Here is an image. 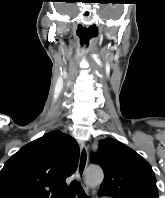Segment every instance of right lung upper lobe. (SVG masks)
<instances>
[{"mask_svg": "<svg viewBox=\"0 0 165 198\" xmlns=\"http://www.w3.org/2000/svg\"><path fill=\"white\" fill-rule=\"evenodd\" d=\"M77 142L54 131L22 147L0 172V198H53L76 170ZM56 197V196H55Z\"/></svg>", "mask_w": 165, "mask_h": 198, "instance_id": "right-lung-upper-lobe-1", "label": "right lung upper lobe"}]
</instances>
